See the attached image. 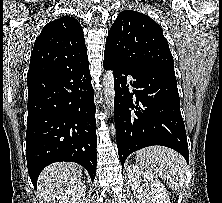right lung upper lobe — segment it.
<instances>
[{
    "mask_svg": "<svg viewBox=\"0 0 222 203\" xmlns=\"http://www.w3.org/2000/svg\"><path fill=\"white\" fill-rule=\"evenodd\" d=\"M88 65L81 25L75 18L63 16L46 24L36 39L27 79Z\"/></svg>",
    "mask_w": 222,
    "mask_h": 203,
    "instance_id": "obj_1",
    "label": "right lung upper lobe"
}]
</instances>
